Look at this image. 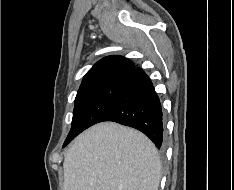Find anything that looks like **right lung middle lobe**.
<instances>
[{"label":"right lung middle lobe","instance_id":"obj_1","mask_svg":"<svg viewBox=\"0 0 234 190\" xmlns=\"http://www.w3.org/2000/svg\"><path fill=\"white\" fill-rule=\"evenodd\" d=\"M124 83L125 79H117L78 91L71 130L63 147L79 133L100 121L114 104Z\"/></svg>","mask_w":234,"mask_h":190}]
</instances>
